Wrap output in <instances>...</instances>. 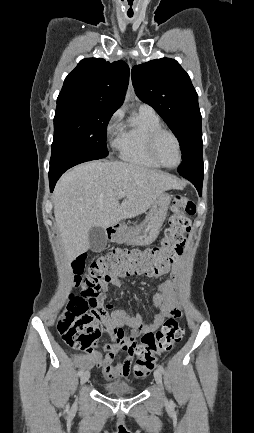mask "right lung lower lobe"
Here are the masks:
<instances>
[{
  "mask_svg": "<svg viewBox=\"0 0 254 433\" xmlns=\"http://www.w3.org/2000/svg\"><path fill=\"white\" fill-rule=\"evenodd\" d=\"M95 159L97 157L88 155L72 146H65L52 152L49 169L50 191H53L57 180L67 169L79 163Z\"/></svg>",
  "mask_w": 254,
  "mask_h": 433,
  "instance_id": "1",
  "label": "right lung lower lobe"
}]
</instances>
